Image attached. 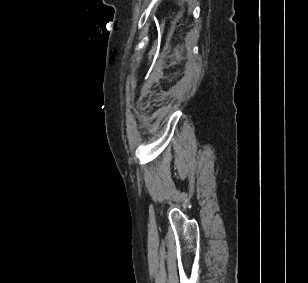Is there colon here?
<instances>
[{"label": "colon", "mask_w": 308, "mask_h": 283, "mask_svg": "<svg viewBox=\"0 0 308 283\" xmlns=\"http://www.w3.org/2000/svg\"><path fill=\"white\" fill-rule=\"evenodd\" d=\"M164 27L165 24L162 23L158 32V36L157 39L155 40V42L153 43V46L149 52V60L153 61L155 59V57L157 56L158 50H159V46H160V41H161V37L164 31Z\"/></svg>", "instance_id": "5ec220e1"}]
</instances>
